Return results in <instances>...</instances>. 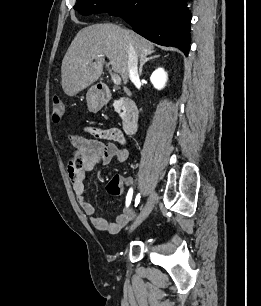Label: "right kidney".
<instances>
[{
	"instance_id": "right-kidney-1",
	"label": "right kidney",
	"mask_w": 261,
	"mask_h": 306,
	"mask_svg": "<svg viewBox=\"0 0 261 306\" xmlns=\"http://www.w3.org/2000/svg\"><path fill=\"white\" fill-rule=\"evenodd\" d=\"M150 80L153 86L156 89L160 90L165 86V83L167 81V74L162 68H158L152 73Z\"/></svg>"
}]
</instances>
